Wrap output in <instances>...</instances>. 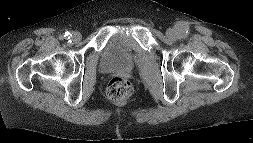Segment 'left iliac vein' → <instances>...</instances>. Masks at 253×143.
<instances>
[{
    "label": "left iliac vein",
    "instance_id": "obj_1",
    "mask_svg": "<svg viewBox=\"0 0 253 143\" xmlns=\"http://www.w3.org/2000/svg\"><path fill=\"white\" fill-rule=\"evenodd\" d=\"M166 36L170 40H175L178 37L177 32L172 28H170L166 31Z\"/></svg>",
    "mask_w": 253,
    "mask_h": 143
}]
</instances>
